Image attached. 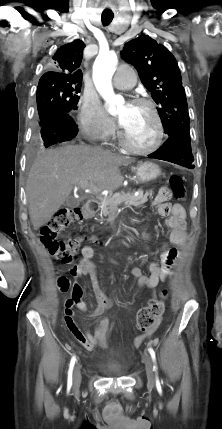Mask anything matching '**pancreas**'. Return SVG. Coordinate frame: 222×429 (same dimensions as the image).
<instances>
[{
    "instance_id": "cf45deb5",
    "label": "pancreas",
    "mask_w": 222,
    "mask_h": 429,
    "mask_svg": "<svg viewBox=\"0 0 222 429\" xmlns=\"http://www.w3.org/2000/svg\"><path fill=\"white\" fill-rule=\"evenodd\" d=\"M151 195H152V191L143 194V191L140 190L137 196H135L133 193L127 192V193H120L112 197L108 196L105 199L102 198L101 213L104 216H109V217L114 216V214L118 210V205L122 202H124L125 205L128 207H131V206L140 207L148 201V196H151ZM123 197H125V199H122ZM119 200H121L120 203H118Z\"/></svg>"
}]
</instances>
